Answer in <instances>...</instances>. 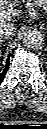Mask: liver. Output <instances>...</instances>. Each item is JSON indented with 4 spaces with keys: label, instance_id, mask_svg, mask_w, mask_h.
<instances>
[{
    "label": "liver",
    "instance_id": "obj_1",
    "mask_svg": "<svg viewBox=\"0 0 47 129\" xmlns=\"http://www.w3.org/2000/svg\"><path fill=\"white\" fill-rule=\"evenodd\" d=\"M4 19H6V18H2L1 15H0V24H1V23H4V22H3Z\"/></svg>",
    "mask_w": 47,
    "mask_h": 129
}]
</instances>
